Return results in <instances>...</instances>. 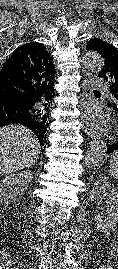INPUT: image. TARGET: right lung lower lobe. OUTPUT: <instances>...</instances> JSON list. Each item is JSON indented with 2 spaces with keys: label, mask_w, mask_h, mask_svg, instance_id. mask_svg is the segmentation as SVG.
I'll return each mask as SVG.
<instances>
[{
  "label": "right lung lower lobe",
  "mask_w": 118,
  "mask_h": 269,
  "mask_svg": "<svg viewBox=\"0 0 118 269\" xmlns=\"http://www.w3.org/2000/svg\"><path fill=\"white\" fill-rule=\"evenodd\" d=\"M37 108V101L33 97L1 95L0 127L11 123H20L32 129ZM45 140L46 138L39 139V142L43 145Z\"/></svg>",
  "instance_id": "98d812e1"
}]
</instances>
